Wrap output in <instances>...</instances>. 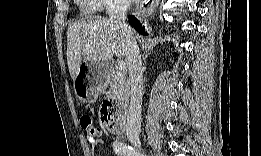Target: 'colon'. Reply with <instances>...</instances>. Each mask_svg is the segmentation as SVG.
Returning <instances> with one entry per match:
<instances>
[{
    "label": "colon",
    "instance_id": "obj_1",
    "mask_svg": "<svg viewBox=\"0 0 261 156\" xmlns=\"http://www.w3.org/2000/svg\"><path fill=\"white\" fill-rule=\"evenodd\" d=\"M101 122L103 126L113 132H121L118 122V110L115 106L105 102L101 109ZM82 129L86 134L87 141L90 144H96L101 136V128L89 115H83L80 119Z\"/></svg>",
    "mask_w": 261,
    "mask_h": 156
}]
</instances>
